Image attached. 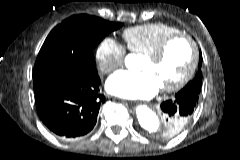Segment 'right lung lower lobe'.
I'll return each mask as SVG.
<instances>
[{
	"mask_svg": "<svg viewBox=\"0 0 240 160\" xmlns=\"http://www.w3.org/2000/svg\"><path fill=\"white\" fill-rule=\"evenodd\" d=\"M33 86L39 118L50 131L63 138L88 134L106 100L100 93L97 72L79 76L54 68L35 77Z\"/></svg>",
	"mask_w": 240,
	"mask_h": 160,
	"instance_id": "1",
	"label": "right lung lower lobe"
}]
</instances>
